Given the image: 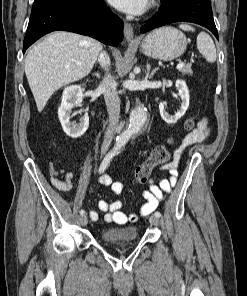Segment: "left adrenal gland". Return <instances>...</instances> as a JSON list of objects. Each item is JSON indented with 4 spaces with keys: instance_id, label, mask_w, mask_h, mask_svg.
I'll list each match as a JSON object with an SVG mask.
<instances>
[{
    "instance_id": "a2214340",
    "label": "left adrenal gland",
    "mask_w": 247,
    "mask_h": 296,
    "mask_svg": "<svg viewBox=\"0 0 247 296\" xmlns=\"http://www.w3.org/2000/svg\"><path fill=\"white\" fill-rule=\"evenodd\" d=\"M158 70L157 68H154L151 72H150V65L147 64V77H149V79H152L154 74L156 73V71Z\"/></svg>"
}]
</instances>
